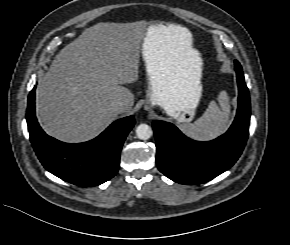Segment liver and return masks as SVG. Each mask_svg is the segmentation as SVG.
I'll use <instances>...</instances> for the list:
<instances>
[{"label":"liver","mask_w":290,"mask_h":245,"mask_svg":"<svg viewBox=\"0 0 290 245\" xmlns=\"http://www.w3.org/2000/svg\"><path fill=\"white\" fill-rule=\"evenodd\" d=\"M153 29L145 33L135 24L99 23L65 46L38 81L36 114L43 129L59 140L82 142L119 113L130 112L134 95L124 85L137 81L140 44ZM156 30L171 68L197 73L199 52L191 46L189 30L173 24ZM118 100L125 104L122 112L113 109Z\"/></svg>","instance_id":"obj_1"}]
</instances>
